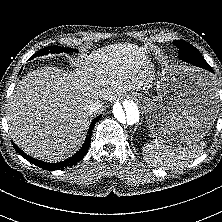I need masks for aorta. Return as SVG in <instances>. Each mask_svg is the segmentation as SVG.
Returning a JSON list of instances; mask_svg holds the SVG:
<instances>
[{
	"label": "aorta",
	"instance_id": "aorta-1",
	"mask_svg": "<svg viewBox=\"0 0 222 222\" xmlns=\"http://www.w3.org/2000/svg\"><path fill=\"white\" fill-rule=\"evenodd\" d=\"M112 114L116 122L122 126L134 125L140 119L139 106L132 99H126L122 103L116 102L113 105Z\"/></svg>",
	"mask_w": 222,
	"mask_h": 222
}]
</instances>
